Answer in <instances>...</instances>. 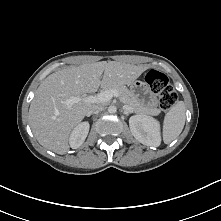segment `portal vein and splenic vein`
<instances>
[{
	"label": "portal vein and splenic vein",
	"instance_id": "1",
	"mask_svg": "<svg viewBox=\"0 0 221 221\" xmlns=\"http://www.w3.org/2000/svg\"><path fill=\"white\" fill-rule=\"evenodd\" d=\"M119 93L116 90H105L98 93L95 96L88 97H75L72 96L67 99L64 103L70 108L73 104L78 102H86L91 104L105 103L112 99V97H118Z\"/></svg>",
	"mask_w": 221,
	"mask_h": 221
}]
</instances>
